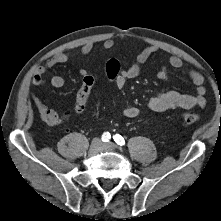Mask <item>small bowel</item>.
I'll return each instance as SVG.
<instances>
[{"mask_svg":"<svg viewBox=\"0 0 221 221\" xmlns=\"http://www.w3.org/2000/svg\"><path fill=\"white\" fill-rule=\"evenodd\" d=\"M103 49L110 50L114 47V41L112 39H107L102 44ZM93 45L87 43L83 45L79 53L86 55L92 51ZM158 51L156 46H148L139 51L136 55V61L131 66L121 69V73L118 78L113 82L115 85L122 89L125 87L128 80L133 79L140 75L142 71V66L148 59ZM71 57L70 53L58 52L49 60H47L43 65L35 68L34 75L31 80V84L35 87H39L45 84H49L54 88H61L65 84L63 77L55 75L50 79H45L43 75L46 71L50 70L58 64L65 63ZM171 67L175 69H180L183 67V62L179 57L171 56L168 59ZM89 73L85 69L80 70V75L82 78L87 76ZM188 75L195 85V93L187 94L177 90H169L165 92L158 93L150 98L148 101V109L155 112H164L168 110H189L193 107H204L206 104V88L204 87V78L201 73L195 70H189ZM157 77L161 80H167L169 78V73L166 68H162L157 72ZM32 101L37 109L40 117L46 123L52 126H57L65 123L70 115V111H66L63 114H58L53 109L46 106L42 100L33 95ZM140 113V110L136 106H128L124 109L123 114L127 118H136Z\"/></svg>","mask_w":221,"mask_h":221,"instance_id":"1","label":"small bowel"}]
</instances>
